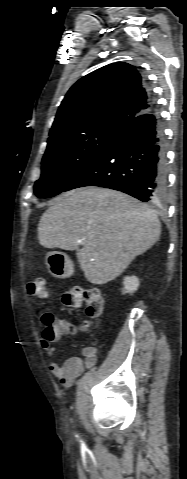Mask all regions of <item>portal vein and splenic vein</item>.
<instances>
[{
	"instance_id": "18ae733b",
	"label": "portal vein and splenic vein",
	"mask_w": 187,
	"mask_h": 479,
	"mask_svg": "<svg viewBox=\"0 0 187 479\" xmlns=\"http://www.w3.org/2000/svg\"><path fill=\"white\" fill-rule=\"evenodd\" d=\"M78 243H79V244H82V240H79Z\"/></svg>"
}]
</instances>
